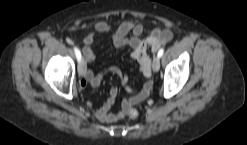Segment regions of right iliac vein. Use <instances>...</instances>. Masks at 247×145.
<instances>
[{
    "instance_id": "right-iliac-vein-1",
    "label": "right iliac vein",
    "mask_w": 247,
    "mask_h": 145,
    "mask_svg": "<svg viewBox=\"0 0 247 145\" xmlns=\"http://www.w3.org/2000/svg\"><path fill=\"white\" fill-rule=\"evenodd\" d=\"M85 73H86V62L83 58L78 66V74L80 77H84Z\"/></svg>"
}]
</instances>
